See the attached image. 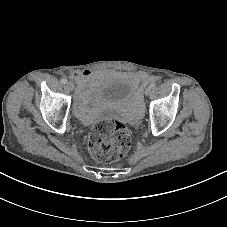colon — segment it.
Here are the masks:
<instances>
[{
    "mask_svg": "<svg viewBox=\"0 0 227 227\" xmlns=\"http://www.w3.org/2000/svg\"><path fill=\"white\" fill-rule=\"evenodd\" d=\"M131 137L128 129L119 122L99 121L88 136L90 154L101 162H114L128 150Z\"/></svg>",
    "mask_w": 227,
    "mask_h": 227,
    "instance_id": "obj_1",
    "label": "colon"
}]
</instances>
